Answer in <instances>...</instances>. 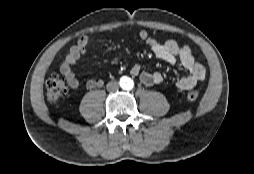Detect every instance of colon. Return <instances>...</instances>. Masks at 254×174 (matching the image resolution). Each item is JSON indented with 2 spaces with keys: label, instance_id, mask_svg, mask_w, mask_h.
Instances as JSON below:
<instances>
[{
  "label": "colon",
  "instance_id": "5ec220e1",
  "mask_svg": "<svg viewBox=\"0 0 254 174\" xmlns=\"http://www.w3.org/2000/svg\"><path fill=\"white\" fill-rule=\"evenodd\" d=\"M46 97L50 102H56L60 100L68 91V83L62 76L58 74H51L46 80ZM199 97L198 92L189 91L187 93V99L189 101H196Z\"/></svg>",
  "mask_w": 254,
  "mask_h": 174
}]
</instances>
